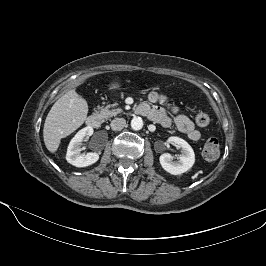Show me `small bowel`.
I'll use <instances>...</instances> for the list:
<instances>
[{
	"label": "small bowel",
	"mask_w": 266,
	"mask_h": 266,
	"mask_svg": "<svg viewBox=\"0 0 266 266\" xmlns=\"http://www.w3.org/2000/svg\"><path fill=\"white\" fill-rule=\"evenodd\" d=\"M148 100L149 103L139 105V114L148 117L153 122L159 123L165 128L171 127L173 120L167 111L162 107L152 105L167 102V96L157 91H152L148 95ZM171 113L174 115V123L180 132L186 134L193 141L200 139L201 134L195 128L191 119L181 113L177 106L172 107Z\"/></svg>",
	"instance_id": "1"
}]
</instances>
